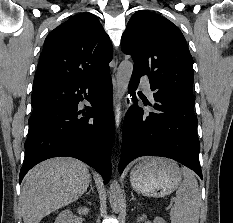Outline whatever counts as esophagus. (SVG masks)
Returning a JSON list of instances; mask_svg holds the SVG:
<instances>
[{"mask_svg": "<svg viewBox=\"0 0 233 223\" xmlns=\"http://www.w3.org/2000/svg\"><path fill=\"white\" fill-rule=\"evenodd\" d=\"M118 65V58H116L115 62V67L113 71V77H112V82H113V104H114V111H115V122H116V127L117 129L120 126L121 119H122V104L120 101V90L116 81V69Z\"/></svg>", "mask_w": 233, "mask_h": 223, "instance_id": "esophagus-1", "label": "esophagus"}]
</instances>
